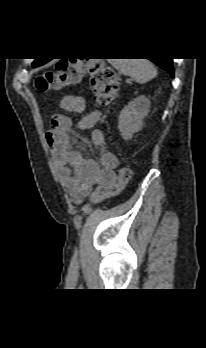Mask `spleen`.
I'll return each mask as SVG.
<instances>
[{"label":"spleen","instance_id":"1","mask_svg":"<svg viewBox=\"0 0 206 348\" xmlns=\"http://www.w3.org/2000/svg\"><path fill=\"white\" fill-rule=\"evenodd\" d=\"M109 62L119 73L133 77L139 83L157 76L156 68L148 59H109Z\"/></svg>","mask_w":206,"mask_h":348}]
</instances>
